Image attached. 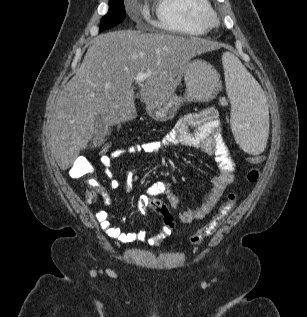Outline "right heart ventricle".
Listing matches in <instances>:
<instances>
[{"instance_id": "e07e8e85", "label": "right heart ventricle", "mask_w": 307, "mask_h": 317, "mask_svg": "<svg viewBox=\"0 0 307 317\" xmlns=\"http://www.w3.org/2000/svg\"><path fill=\"white\" fill-rule=\"evenodd\" d=\"M208 7V0H155L157 26L177 34L204 35L202 13Z\"/></svg>"}]
</instances>
